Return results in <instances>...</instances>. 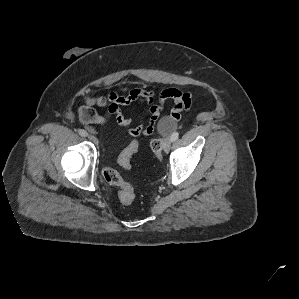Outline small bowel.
<instances>
[{"label": "small bowel", "instance_id": "c3829d8e", "mask_svg": "<svg viewBox=\"0 0 299 299\" xmlns=\"http://www.w3.org/2000/svg\"><path fill=\"white\" fill-rule=\"evenodd\" d=\"M84 100L85 105L79 109V118L84 125L91 128L92 125L106 124L111 118H115L119 126L126 128L133 138H138L152 134L167 101L174 103L169 119L173 122L179 121L182 113L191 108L192 95L177 88H167L155 93L142 88L123 87L121 93L111 92L106 96L88 95ZM141 102L148 105L150 118L147 124L133 126L132 119L126 117L121 108ZM95 106L104 108L106 113L99 114L94 109Z\"/></svg>", "mask_w": 299, "mask_h": 299}]
</instances>
